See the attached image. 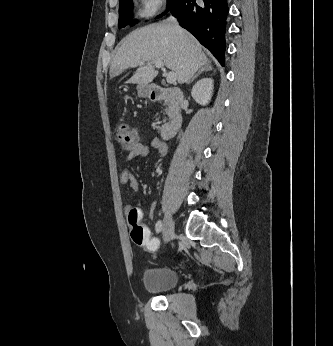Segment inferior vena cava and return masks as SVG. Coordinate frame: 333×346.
I'll return each mask as SVG.
<instances>
[{
    "mask_svg": "<svg viewBox=\"0 0 333 346\" xmlns=\"http://www.w3.org/2000/svg\"><path fill=\"white\" fill-rule=\"evenodd\" d=\"M167 21H168V23L173 24L177 29L180 28L179 25H178V21H177L176 18H174V17L171 16V17H169V18L167 19Z\"/></svg>",
    "mask_w": 333,
    "mask_h": 346,
    "instance_id": "1",
    "label": "inferior vena cava"
}]
</instances>
